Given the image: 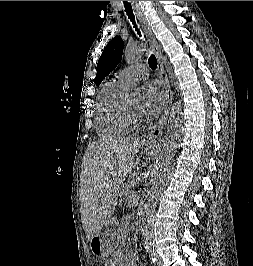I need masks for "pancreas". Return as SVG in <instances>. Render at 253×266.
<instances>
[{"label": "pancreas", "instance_id": "pancreas-1", "mask_svg": "<svg viewBox=\"0 0 253 266\" xmlns=\"http://www.w3.org/2000/svg\"><path fill=\"white\" fill-rule=\"evenodd\" d=\"M121 203H128L129 206H133L137 202V194L134 192L129 184L124 186V190L121 193Z\"/></svg>", "mask_w": 253, "mask_h": 266}]
</instances>
